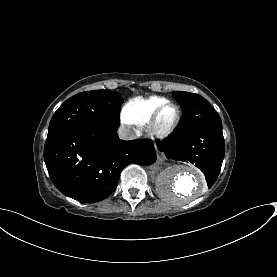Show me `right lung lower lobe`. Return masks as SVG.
<instances>
[{
	"label": "right lung lower lobe",
	"instance_id": "98d812e1",
	"mask_svg": "<svg viewBox=\"0 0 277 277\" xmlns=\"http://www.w3.org/2000/svg\"><path fill=\"white\" fill-rule=\"evenodd\" d=\"M118 127L92 124L47 136L44 160L59 191L81 202H98L115 191L125 166L156 161L150 140H120Z\"/></svg>",
	"mask_w": 277,
	"mask_h": 277
}]
</instances>
